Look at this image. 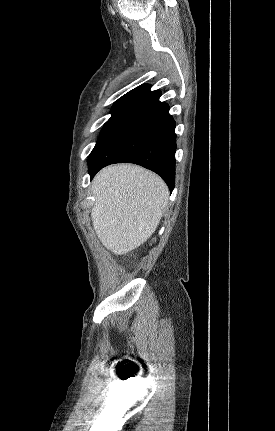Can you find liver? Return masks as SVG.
I'll return each instance as SVG.
<instances>
[{
    "label": "liver",
    "instance_id": "1",
    "mask_svg": "<svg viewBox=\"0 0 275 431\" xmlns=\"http://www.w3.org/2000/svg\"><path fill=\"white\" fill-rule=\"evenodd\" d=\"M94 230L105 248L127 254L155 232L169 190L164 181L136 165L119 164L102 169L92 182Z\"/></svg>",
    "mask_w": 275,
    "mask_h": 431
}]
</instances>
